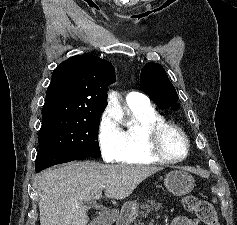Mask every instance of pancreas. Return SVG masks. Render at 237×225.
Returning <instances> with one entry per match:
<instances>
[{
  "instance_id": "1",
  "label": "pancreas",
  "mask_w": 237,
  "mask_h": 225,
  "mask_svg": "<svg viewBox=\"0 0 237 225\" xmlns=\"http://www.w3.org/2000/svg\"><path fill=\"white\" fill-rule=\"evenodd\" d=\"M161 206L160 203H156L155 200H147V203L145 205H143L141 208H145L147 209V211L149 212L150 210H157L159 209Z\"/></svg>"
}]
</instances>
